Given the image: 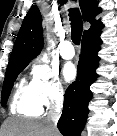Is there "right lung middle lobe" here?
I'll return each mask as SVG.
<instances>
[{
	"label": "right lung middle lobe",
	"mask_w": 117,
	"mask_h": 136,
	"mask_svg": "<svg viewBox=\"0 0 117 136\" xmlns=\"http://www.w3.org/2000/svg\"><path fill=\"white\" fill-rule=\"evenodd\" d=\"M29 61L30 60L16 61L7 66L1 95L2 106L6 105L14 81L16 80L18 74L29 64Z\"/></svg>",
	"instance_id": "dd1d6c3e"
}]
</instances>
